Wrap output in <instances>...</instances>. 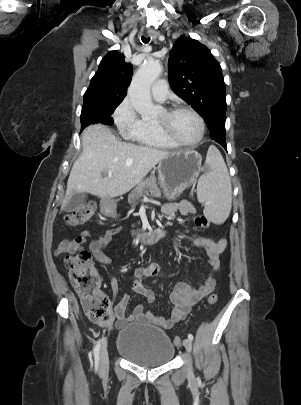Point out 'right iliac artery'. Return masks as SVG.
Returning a JSON list of instances; mask_svg holds the SVG:
<instances>
[{"label": "right iliac artery", "mask_w": 301, "mask_h": 405, "mask_svg": "<svg viewBox=\"0 0 301 405\" xmlns=\"http://www.w3.org/2000/svg\"><path fill=\"white\" fill-rule=\"evenodd\" d=\"M102 340L99 339L96 342V345L93 349V354H94V360H95V369L98 370L99 367V350H100V345H101Z\"/></svg>", "instance_id": "right-iliac-artery-1"}]
</instances>
